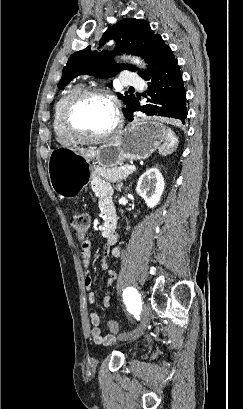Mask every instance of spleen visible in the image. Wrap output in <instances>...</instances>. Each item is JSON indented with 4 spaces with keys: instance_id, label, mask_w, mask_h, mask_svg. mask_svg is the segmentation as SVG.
<instances>
[{
    "instance_id": "spleen-1",
    "label": "spleen",
    "mask_w": 243,
    "mask_h": 409,
    "mask_svg": "<svg viewBox=\"0 0 243 409\" xmlns=\"http://www.w3.org/2000/svg\"><path fill=\"white\" fill-rule=\"evenodd\" d=\"M178 144V139L175 136V133L167 128L166 136L163 145L159 148V153L162 155L170 154L175 150Z\"/></svg>"
}]
</instances>
